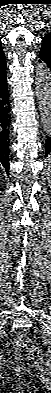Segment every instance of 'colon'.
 I'll list each match as a JSON object with an SVG mask.
<instances>
[{
	"label": "colon",
	"mask_w": 51,
	"mask_h": 393,
	"mask_svg": "<svg viewBox=\"0 0 51 393\" xmlns=\"http://www.w3.org/2000/svg\"><path fill=\"white\" fill-rule=\"evenodd\" d=\"M13 348L21 359L30 360L39 355V349L26 335H19L14 343Z\"/></svg>",
	"instance_id": "colon-1"
}]
</instances>
